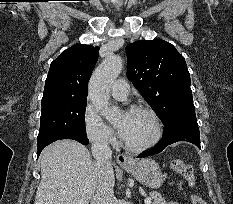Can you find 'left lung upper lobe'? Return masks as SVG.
<instances>
[{
	"instance_id": "5c2ea615",
	"label": "left lung upper lobe",
	"mask_w": 233,
	"mask_h": 204,
	"mask_svg": "<svg viewBox=\"0 0 233 204\" xmlns=\"http://www.w3.org/2000/svg\"><path fill=\"white\" fill-rule=\"evenodd\" d=\"M127 77L164 124L163 135L184 126H198L184 57L161 39L126 47Z\"/></svg>"
}]
</instances>
